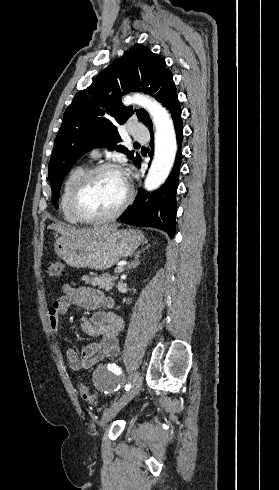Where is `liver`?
<instances>
[{"label":"liver","mask_w":279,"mask_h":490,"mask_svg":"<svg viewBox=\"0 0 279 490\" xmlns=\"http://www.w3.org/2000/svg\"><path fill=\"white\" fill-rule=\"evenodd\" d=\"M117 226H99V228H87V230H77L74 226H62V224H50L48 230H56L65 238L70 240H88L92 238L94 234H106V232H112L116 230Z\"/></svg>","instance_id":"1"}]
</instances>
